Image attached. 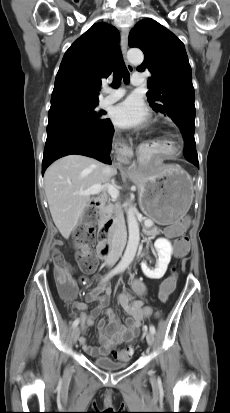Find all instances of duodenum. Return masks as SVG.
<instances>
[{
    "label": "duodenum",
    "instance_id": "1",
    "mask_svg": "<svg viewBox=\"0 0 230 413\" xmlns=\"http://www.w3.org/2000/svg\"><path fill=\"white\" fill-rule=\"evenodd\" d=\"M106 201V196L103 194L97 197L94 201V205L97 208L103 207ZM114 232V224L112 220H106L103 224V228L100 232V241L97 245V255L101 259H106L112 253L111 238Z\"/></svg>",
    "mask_w": 230,
    "mask_h": 413
}]
</instances>
